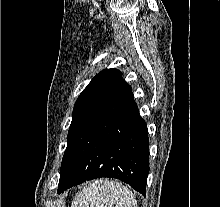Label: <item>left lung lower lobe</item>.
Wrapping results in <instances>:
<instances>
[{"label":"left lung lower lobe","mask_w":220,"mask_h":207,"mask_svg":"<svg viewBox=\"0 0 220 207\" xmlns=\"http://www.w3.org/2000/svg\"><path fill=\"white\" fill-rule=\"evenodd\" d=\"M149 139L131 87L121 77L67 142L58 193L86 180L117 178L145 196Z\"/></svg>","instance_id":"0a47b994"}]
</instances>
